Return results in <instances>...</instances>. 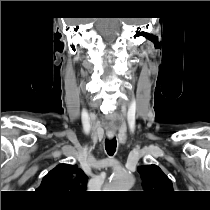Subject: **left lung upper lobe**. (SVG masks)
Here are the masks:
<instances>
[{
  "label": "left lung upper lobe",
  "instance_id": "left-lung-upper-lobe-1",
  "mask_svg": "<svg viewBox=\"0 0 210 210\" xmlns=\"http://www.w3.org/2000/svg\"><path fill=\"white\" fill-rule=\"evenodd\" d=\"M146 193H166L173 190L171 180L156 165L138 167Z\"/></svg>",
  "mask_w": 210,
  "mask_h": 210
}]
</instances>
